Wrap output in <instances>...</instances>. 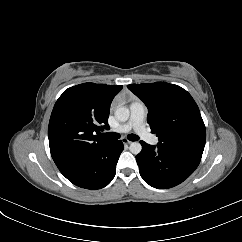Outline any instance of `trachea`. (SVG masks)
Masks as SVG:
<instances>
[{
	"instance_id": "trachea-1",
	"label": "trachea",
	"mask_w": 242,
	"mask_h": 242,
	"mask_svg": "<svg viewBox=\"0 0 242 242\" xmlns=\"http://www.w3.org/2000/svg\"><path fill=\"white\" fill-rule=\"evenodd\" d=\"M100 137L109 139V140H117L120 138V134L115 133V132L101 133ZM128 139L130 141H137V140H139V137L135 134H130V135H128Z\"/></svg>"
}]
</instances>
